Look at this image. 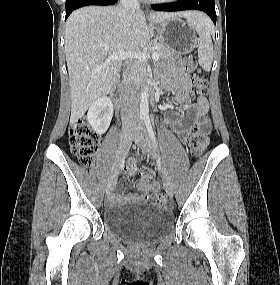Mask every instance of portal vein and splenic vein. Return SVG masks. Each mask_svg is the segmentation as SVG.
<instances>
[{
  "label": "portal vein and splenic vein",
  "instance_id": "obj_1",
  "mask_svg": "<svg viewBox=\"0 0 280 285\" xmlns=\"http://www.w3.org/2000/svg\"><path fill=\"white\" fill-rule=\"evenodd\" d=\"M152 59L153 60H158L160 58L158 53H152ZM133 58L138 60L139 62H147L148 56L146 53L140 52V51H117L116 53H113L109 55L108 61L111 60H124V59H129Z\"/></svg>",
  "mask_w": 280,
  "mask_h": 285
}]
</instances>
